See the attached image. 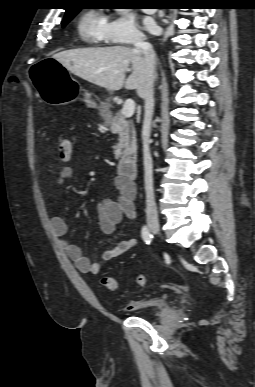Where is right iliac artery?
I'll list each match as a JSON object with an SVG mask.
<instances>
[{"instance_id": "right-iliac-artery-1", "label": "right iliac artery", "mask_w": 255, "mask_h": 387, "mask_svg": "<svg viewBox=\"0 0 255 387\" xmlns=\"http://www.w3.org/2000/svg\"><path fill=\"white\" fill-rule=\"evenodd\" d=\"M141 235L146 244H150L153 238V235L151 234L149 228L144 225L141 230Z\"/></svg>"}]
</instances>
